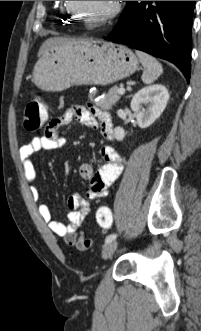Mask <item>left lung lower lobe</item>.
Instances as JSON below:
<instances>
[{
  "mask_svg": "<svg viewBox=\"0 0 201 331\" xmlns=\"http://www.w3.org/2000/svg\"><path fill=\"white\" fill-rule=\"evenodd\" d=\"M195 1H128L105 38L175 64L189 82Z\"/></svg>",
  "mask_w": 201,
  "mask_h": 331,
  "instance_id": "left-lung-lower-lobe-1",
  "label": "left lung lower lobe"
}]
</instances>
